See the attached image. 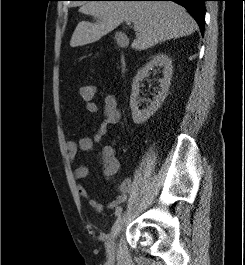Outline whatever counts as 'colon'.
Segmentation results:
<instances>
[{
    "label": "colon",
    "instance_id": "obj_1",
    "mask_svg": "<svg viewBox=\"0 0 245 265\" xmlns=\"http://www.w3.org/2000/svg\"><path fill=\"white\" fill-rule=\"evenodd\" d=\"M79 94L85 103L94 101L96 97V87L91 84L84 85L79 89Z\"/></svg>",
    "mask_w": 245,
    "mask_h": 265
}]
</instances>
